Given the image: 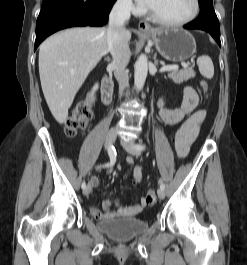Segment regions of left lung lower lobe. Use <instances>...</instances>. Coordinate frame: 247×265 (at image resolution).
<instances>
[{
  "mask_svg": "<svg viewBox=\"0 0 247 265\" xmlns=\"http://www.w3.org/2000/svg\"><path fill=\"white\" fill-rule=\"evenodd\" d=\"M200 14L198 18L184 26L185 29H200L212 35L215 41L221 46L220 26L215 14L212 0H199Z\"/></svg>",
  "mask_w": 247,
  "mask_h": 265,
  "instance_id": "0a47b994",
  "label": "left lung lower lobe"
}]
</instances>
